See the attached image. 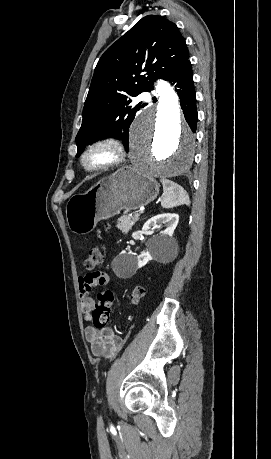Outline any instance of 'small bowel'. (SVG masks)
<instances>
[{"mask_svg": "<svg viewBox=\"0 0 271 459\" xmlns=\"http://www.w3.org/2000/svg\"><path fill=\"white\" fill-rule=\"evenodd\" d=\"M108 282V276L101 271H91L79 278L81 308L86 321L91 322L92 311L95 307V300L91 297L93 288L104 286ZM85 335L93 356L98 358H114L123 345L122 338L110 327L96 328L90 325L86 328Z\"/></svg>", "mask_w": 271, "mask_h": 459, "instance_id": "1", "label": "small bowel"}]
</instances>
